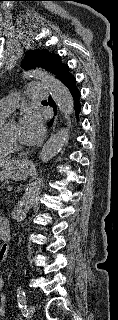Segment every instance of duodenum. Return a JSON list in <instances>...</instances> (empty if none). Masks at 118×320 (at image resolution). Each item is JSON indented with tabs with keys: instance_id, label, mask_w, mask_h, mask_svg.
<instances>
[{
	"instance_id": "1",
	"label": "duodenum",
	"mask_w": 118,
	"mask_h": 320,
	"mask_svg": "<svg viewBox=\"0 0 118 320\" xmlns=\"http://www.w3.org/2000/svg\"><path fill=\"white\" fill-rule=\"evenodd\" d=\"M9 237L10 232L8 218L5 216H0V238L7 243L9 241Z\"/></svg>"
}]
</instances>
